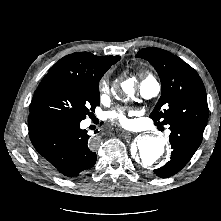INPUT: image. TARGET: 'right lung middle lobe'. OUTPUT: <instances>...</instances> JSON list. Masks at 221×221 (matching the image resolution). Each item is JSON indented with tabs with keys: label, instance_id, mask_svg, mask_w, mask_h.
<instances>
[{
	"label": "right lung middle lobe",
	"instance_id": "dd1d6c3e",
	"mask_svg": "<svg viewBox=\"0 0 221 221\" xmlns=\"http://www.w3.org/2000/svg\"><path fill=\"white\" fill-rule=\"evenodd\" d=\"M97 77H85L65 70H49L34 93L30 114H46L82 121L100 104Z\"/></svg>",
	"mask_w": 221,
	"mask_h": 221
}]
</instances>
